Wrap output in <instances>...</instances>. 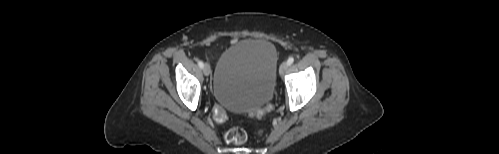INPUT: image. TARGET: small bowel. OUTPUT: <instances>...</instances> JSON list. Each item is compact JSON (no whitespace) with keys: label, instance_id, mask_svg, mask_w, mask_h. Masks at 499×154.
<instances>
[{"label":"small bowel","instance_id":"c3829d8e","mask_svg":"<svg viewBox=\"0 0 499 154\" xmlns=\"http://www.w3.org/2000/svg\"><path fill=\"white\" fill-rule=\"evenodd\" d=\"M237 42H238V39H236V38H235V39H233V40L231 41V44H232V45H234V44H236Z\"/></svg>","mask_w":499,"mask_h":154}]
</instances>
